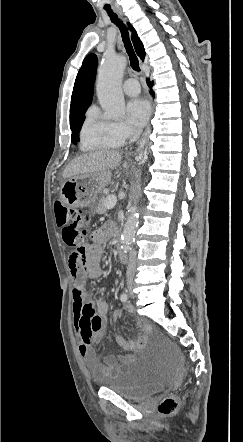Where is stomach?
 Wrapping results in <instances>:
<instances>
[{"instance_id": "obj_1", "label": "stomach", "mask_w": 243, "mask_h": 442, "mask_svg": "<svg viewBox=\"0 0 243 442\" xmlns=\"http://www.w3.org/2000/svg\"><path fill=\"white\" fill-rule=\"evenodd\" d=\"M112 179L111 171H101L77 175L66 180L61 189L60 197L69 206L87 207L92 204Z\"/></svg>"}]
</instances>
